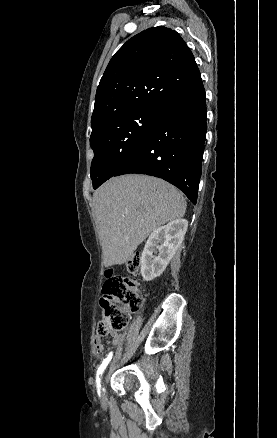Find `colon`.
<instances>
[{
  "label": "colon",
  "instance_id": "1",
  "mask_svg": "<svg viewBox=\"0 0 277 438\" xmlns=\"http://www.w3.org/2000/svg\"><path fill=\"white\" fill-rule=\"evenodd\" d=\"M127 270L137 275L140 270L139 260H129ZM105 277L106 284L99 285L100 303L106 305L99 325V334L103 336L110 331L124 329L130 314L138 312L142 303V295L137 290L135 280L130 277L113 276L110 269L105 272Z\"/></svg>",
  "mask_w": 277,
  "mask_h": 438
}]
</instances>
